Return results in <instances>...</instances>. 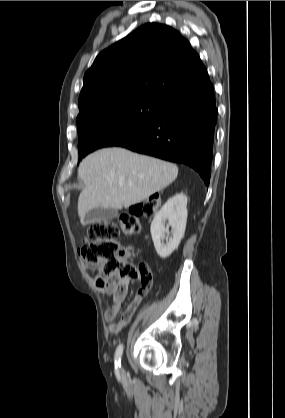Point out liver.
<instances>
[{"label": "liver", "mask_w": 285, "mask_h": 418, "mask_svg": "<svg viewBox=\"0 0 285 418\" xmlns=\"http://www.w3.org/2000/svg\"><path fill=\"white\" fill-rule=\"evenodd\" d=\"M175 164L124 148L98 150L82 160L78 176L85 187L78 198V214L94 208L120 210L147 199L171 184Z\"/></svg>", "instance_id": "6515ba94"}]
</instances>
